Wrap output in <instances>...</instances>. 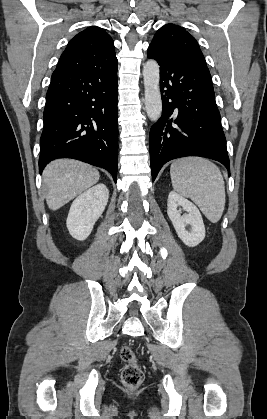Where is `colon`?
Returning <instances> with one entry per match:
<instances>
[{"mask_svg": "<svg viewBox=\"0 0 267 419\" xmlns=\"http://www.w3.org/2000/svg\"><path fill=\"white\" fill-rule=\"evenodd\" d=\"M120 357L125 363L121 373L123 384L128 388L139 387L144 380V373L137 361L135 353L130 347L124 346L121 348Z\"/></svg>", "mask_w": 267, "mask_h": 419, "instance_id": "colon-1", "label": "colon"}]
</instances>
